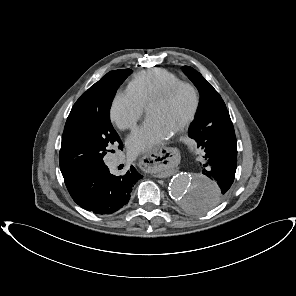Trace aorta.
I'll list each match as a JSON object with an SVG mask.
<instances>
[{"label": "aorta", "instance_id": "obj_1", "mask_svg": "<svg viewBox=\"0 0 296 296\" xmlns=\"http://www.w3.org/2000/svg\"><path fill=\"white\" fill-rule=\"evenodd\" d=\"M217 184L203 175H175L169 184V195L179 208L192 215L205 213L216 202Z\"/></svg>", "mask_w": 296, "mask_h": 296}]
</instances>
